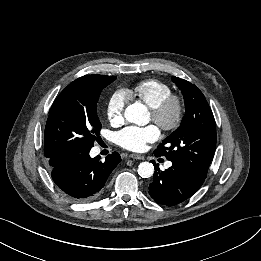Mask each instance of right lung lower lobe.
Wrapping results in <instances>:
<instances>
[{
	"mask_svg": "<svg viewBox=\"0 0 261 261\" xmlns=\"http://www.w3.org/2000/svg\"><path fill=\"white\" fill-rule=\"evenodd\" d=\"M119 153L108 155L104 162L91 158L89 151L78 154L52 168L51 176L62 194L76 202L95 199L109 175L121 162Z\"/></svg>",
	"mask_w": 261,
	"mask_h": 261,
	"instance_id": "98d812e1",
	"label": "right lung lower lobe"
}]
</instances>
